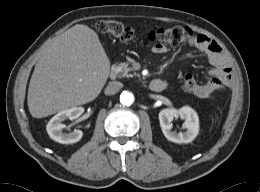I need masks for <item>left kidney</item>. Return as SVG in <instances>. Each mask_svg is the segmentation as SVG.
<instances>
[{
  "instance_id": "1",
  "label": "left kidney",
  "mask_w": 260,
  "mask_h": 192,
  "mask_svg": "<svg viewBox=\"0 0 260 192\" xmlns=\"http://www.w3.org/2000/svg\"><path fill=\"white\" fill-rule=\"evenodd\" d=\"M180 116L185 120V132L172 131V120ZM159 122L164 136L174 143H190L198 135L199 119L197 113L189 106L180 109L166 108L159 112Z\"/></svg>"
}]
</instances>
